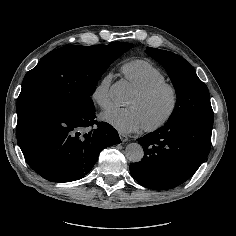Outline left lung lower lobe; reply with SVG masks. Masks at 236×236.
Here are the masks:
<instances>
[{
  "instance_id": "1",
  "label": "left lung lower lobe",
  "mask_w": 236,
  "mask_h": 236,
  "mask_svg": "<svg viewBox=\"0 0 236 236\" xmlns=\"http://www.w3.org/2000/svg\"><path fill=\"white\" fill-rule=\"evenodd\" d=\"M213 122L186 120L165 124L139 138L144 157L130 165L133 178L156 190L174 188L189 179L207 158Z\"/></svg>"
}]
</instances>
